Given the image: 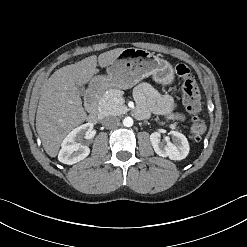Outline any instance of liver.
I'll use <instances>...</instances> for the list:
<instances>
[{"instance_id": "6515ba94", "label": "liver", "mask_w": 247, "mask_h": 247, "mask_svg": "<svg viewBox=\"0 0 247 247\" xmlns=\"http://www.w3.org/2000/svg\"><path fill=\"white\" fill-rule=\"evenodd\" d=\"M124 49L116 48L100 54L99 66H108ZM96 67L97 56L92 55L58 69L42 85L36 130L50 157H56L66 135L86 120L87 114L76 86L88 83L98 72Z\"/></svg>"}]
</instances>
